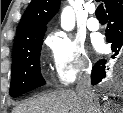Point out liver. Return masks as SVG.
Here are the masks:
<instances>
[{
    "label": "liver",
    "mask_w": 123,
    "mask_h": 113,
    "mask_svg": "<svg viewBox=\"0 0 123 113\" xmlns=\"http://www.w3.org/2000/svg\"><path fill=\"white\" fill-rule=\"evenodd\" d=\"M96 102L99 97L95 94ZM105 104L110 105L111 102ZM88 104L77 91L62 89L42 94L22 103L13 113H88Z\"/></svg>",
    "instance_id": "liver-1"
}]
</instances>
